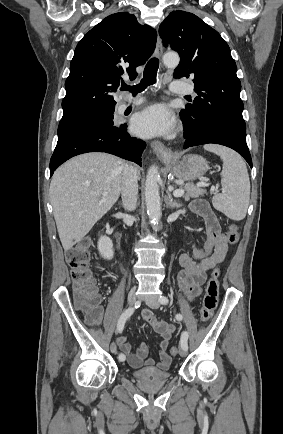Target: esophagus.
I'll return each instance as SVG.
<instances>
[{
  "instance_id": "obj_1",
  "label": "esophagus",
  "mask_w": 283,
  "mask_h": 434,
  "mask_svg": "<svg viewBox=\"0 0 283 434\" xmlns=\"http://www.w3.org/2000/svg\"><path fill=\"white\" fill-rule=\"evenodd\" d=\"M163 54V46L161 38L157 37V43H156V56L160 58ZM151 148L155 152V154L162 160V161H169L173 158V152L171 149L167 148L162 142L160 141H153L151 143Z\"/></svg>"
}]
</instances>
